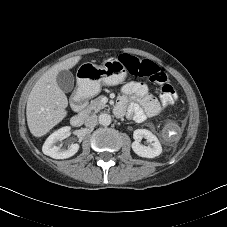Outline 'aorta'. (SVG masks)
<instances>
[{"label":"aorta","mask_w":227,"mask_h":227,"mask_svg":"<svg viewBox=\"0 0 227 227\" xmlns=\"http://www.w3.org/2000/svg\"><path fill=\"white\" fill-rule=\"evenodd\" d=\"M111 115L108 113H101L99 115V123L103 126H108L111 124Z\"/></svg>","instance_id":"762f6f07"}]
</instances>
